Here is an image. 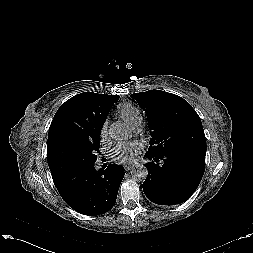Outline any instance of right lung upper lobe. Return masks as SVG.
<instances>
[{
  "label": "right lung upper lobe",
  "mask_w": 253,
  "mask_h": 253,
  "mask_svg": "<svg viewBox=\"0 0 253 253\" xmlns=\"http://www.w3.org/2000/svg\"><path fill=\"white\" fill-rule=\"evenodd\" d=\"M118 99V95L84 92L62 104L49 128L47 160L50 161L54 153L68 142L100 136L110 108Z\"/></svg>",
  "instance_id": "right-lung-upper-lobe-1"
}]
</instances>
